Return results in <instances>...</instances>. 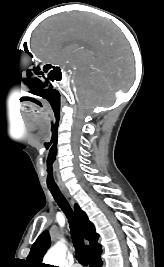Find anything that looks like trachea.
<instances>
[{
    "instance_id": "1",
    "label": "trachea",
    "mask_w": 164,
    "mask_h": 267,
    "mask_svg": "<svg viewBox=\"0 0 164 267\" xmlns=\"http://www.w3.org/2000/svg\"><path fill=\"white\" fill-rule=\"evenodd\" d=\"M48 188L50 192L52 193L55 201L57 202L59 207L62 209V211L65 213L66 217L68 218L77 260L82 265H87L82 232L77 222V219L74 215L73 210L71 209L70 205L68 204L67 200L65 199L63 194L60 192L58 187L48 186Z\"/></svg>"
}]
</instances>
